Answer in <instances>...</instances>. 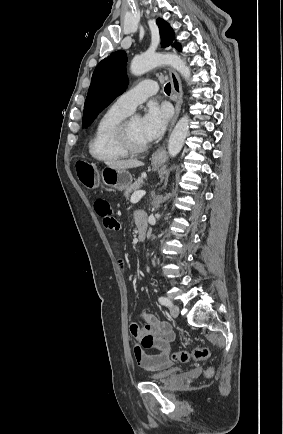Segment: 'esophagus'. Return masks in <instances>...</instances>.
<instances>
[{
  "label": "esophagus",
  "mask_w": 283,
  "mask_h": 434,
  "mask_svg": "<svg viewBox=\"0 0 283 434\" xmlns=\"http://www.w3.org/2000/svg\"><path fill=\"white\" fill-rule=\"evenodd\" d=\"M169 75L171 79L172 90L176 97L175 115L171 124V128H172L175 122L177 121L180 113L181 105L183 102V90H182L181 80L178 74L176 73V71L173 69H169ZM166 158H167V153L164 145L159 147L152 155V160L154 162H161L164 161Z\"/></svg>",
  "instance_id": "34e87169"
}]
</instances>
